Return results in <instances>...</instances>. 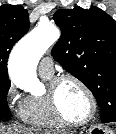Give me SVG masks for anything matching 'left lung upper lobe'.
Instances as JSON below:
<instances>
[{"label": "left lung upper lobe", "instance_id": "left-lung-upper-lobe-1", "mask_svg": "<svg viewBox=\"0 0 116 134\" xmlns=\"http://www.w3.org/2000/svg\"><path fill=\"white\" fill-rule=\"evenodd\" d=\"M52 56L93 93L105 123L116 122V21L97 7L59 9Z\"/></svg>", "mask_w": 116, "mask_h": 134}]
</instances>
